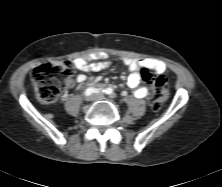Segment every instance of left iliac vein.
<instances>
[{"label": "left iliac vein", "instance_id": "4c4485c4", "mask_svg": "<svg viewBox=\"0 0 222 187\" xmlns=\"http://www.w3.org/2000/svg\"><path fill=\"white\" fill-rule=\"evenodd\" d=\"M103 96L101 94L95 95V100H102Z\"/></svg>", "mask_w": 222, "mask_h": 187}]
</instances>
